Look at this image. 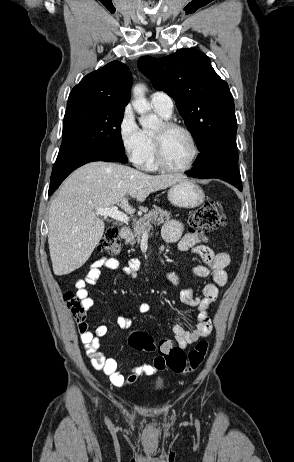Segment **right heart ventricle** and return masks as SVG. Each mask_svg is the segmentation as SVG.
Here are the masks:
<instances>
[{
  "instance_id": "1",
  "label": "right heart ventricle",
  "mask_w": 294,
  "mask_h": 462,
  "mask_svg": "<svg viewBox=\"0 0 294 462\" xmlns=\"http://www.w3.org/2000/svg\"><path fill=\"white\" fill-rule=\"evenodd\" d=\"M156 112L162 117V118H169L170 116L164 114L160 110L155 109ZM143 135L145 138V144H146V150H145V155L141 163V167L146 170V171H156L158 169L156 161H155V148H154V140H153V133L144 130Z\"/></svg>"
}]
</instances>
